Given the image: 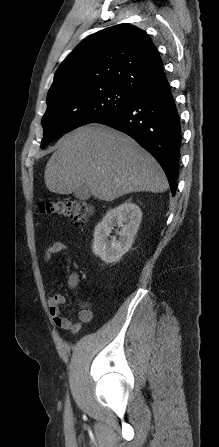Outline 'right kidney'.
Segmentation results:
<instances>
[{
  "mask_svg": "<svg viewBox=\"0 0 219 447\" xmlns=\"http://www.w3.org/2000/svg\"><path fill=\"white\" fill-rule=\"evenodd\" d=\"M142 219V211L132 202H124L116 208L110 209L102 221L95 227L92 251L105 263L117 262L129 250L134 241ZM115 226L119 238L109 235Z\"/></svg>",
  "mask_w": 219,
  "mask_h": 447,
  "instance_id": "ca27d5eb",
  "label": "right kidney"
}]
</instances>
